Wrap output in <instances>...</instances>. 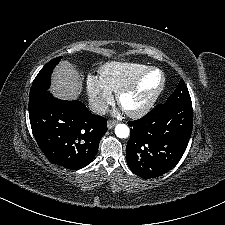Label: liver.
<instances>
[{"label":"liver","instance_id":"6515ba94","mask_svg":"<svg viewBox=\"0 0 225 225\" xmlns=\"http://www.w3.org/2000/svg\"><path fill=\"white\" fill-rule=\"evenodd\" d=\"M50 91L60 99H76L82 91V80L78 70L68 61H62L52 75Z\"/></svg>","mask_w":225,"mask_h":225}]
</instances>
